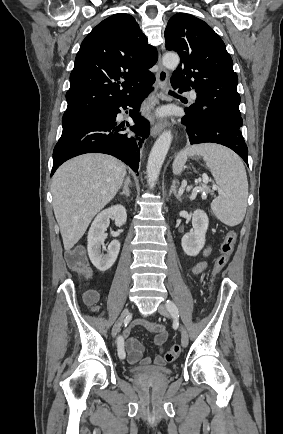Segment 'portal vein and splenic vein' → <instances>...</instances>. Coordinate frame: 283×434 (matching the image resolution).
Instances as JSON below:
<instances>
[{
    "mask_svg": "<svg viewBox=\"0 0 283 434\" xmlns=\"http://www.w3.org/2000/svg\"><path fill=\"white\" fill-rule=\"evenodd\" d=\"M202 181H203V183H208V181H209V178H208V176L206 175V174H203L202 175ZM218 187L216 186V185H213V189H217ZM191 189V187H188L187 188V190H190Z\"/></svg>",
    "mask_w": 283,
    "mask_h": 434,
    "instance_id": "portal-vein-and-splenic-vein-1",
    "label": "portal vein and splenic vein"
}]
</instances>
